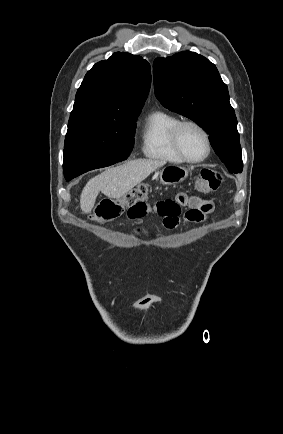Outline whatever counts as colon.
Wrapping results in <instances>:
<instances>
[{
  "label": "colon",
  "instance_id": "obj_1",
  "mask_svg": "<svg viewBox=\"0 0 283 434\" xmlns=\"http://www.w3.org/2000/svg\"><path fill=\"white\" fill-rule=\"evenodd\" d=\"M223 175L215 170L203 169L200 173L199 187L205 192L216 191L223 183ZM148 188L145 184L138 185L119 199L106 198L101 200L92 216L97 222H107L119 217L125 210L147 198Z\"/></svg>",
  "mask_w": 283,
  "mask_h": 434
}]
</instances>
